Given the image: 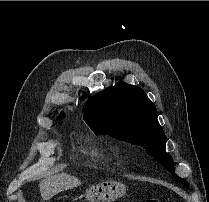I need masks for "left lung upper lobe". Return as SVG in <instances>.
<instances>
[{
	"instance_id": "5c2ea615",
	"label": "left lung upper lobe",
	"mask_w": 209,
	"mask_h": 202,
	"mask_svg": "<svg viewBox=\"0 0 209 202\" xmlns=\"http://www.w3.org/2000/svg\"><path fill=\"white\" fill-rule=\"evenodd\" d=\"M84 120L96 134L142 146L185 186L174 173L173 159L165 152L166 138L157 120V109L145 92L119 81L89 98L83 107Z\"/></svg>"
}]
</instances>
